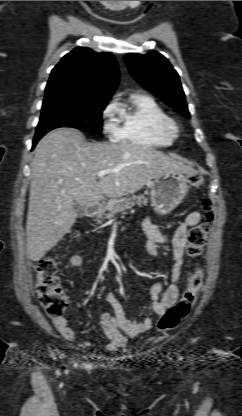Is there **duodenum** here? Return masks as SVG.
<instances>
[{
    "instance_id": "obj_1",
    "label": "duodenum",
    "mask_w": 242,
    "mask_h": 416,
    "mask_svg": "<svg viewBox=\"0 0 242 416\" xmlns=\"http://www.w3.org/2000/svg\"><path fill=\"white\" fill-rule=\"evenodd\" d=\"M99 207H100L99 204H93L89 206V208L86 211V216L93 217L95 213L97 212V210L99 209Z\"/></svg>"
}]
</instances>
